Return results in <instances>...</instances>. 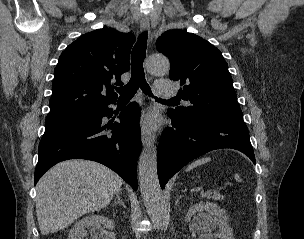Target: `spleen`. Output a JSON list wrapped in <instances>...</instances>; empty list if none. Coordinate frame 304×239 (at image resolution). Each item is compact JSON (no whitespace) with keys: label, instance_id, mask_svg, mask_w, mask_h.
Here are the masks:
<instances>
[{"label":"spleen","instance_id":"1","mask_svg":"<svg viewBox=\"0 0 304 239\" xmlns=\"http://www.w3.org/2000/svg\"><path fill=\"white\" fill-rule=\"evenodd\" d=\"M210 160H211L210 158H201V159H198V160L192 162V163L187 167L186 171H190V170L196 168L197 166H200V165H202V164H205V163L209 162ZM235 178H236L237 181H239V182L241 181L239 175L236 174V175H235Z\"/></svg>","mask_w":304,"mask_h":239}]
</instances>
